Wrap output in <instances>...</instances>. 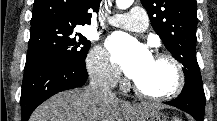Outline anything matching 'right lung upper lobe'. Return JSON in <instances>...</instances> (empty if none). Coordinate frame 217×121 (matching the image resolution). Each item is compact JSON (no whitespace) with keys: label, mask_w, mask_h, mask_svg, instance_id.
<instances>
[{"label":"right lung upper lobe","mask_w":217,"mask_h":121,"mask_svg":"<svg viewBox=\"0 0 217 121\" xmlns=\"http://www.w3.org/2000/svg\"><path fill=\"white\" fill-rule=\"evenodd\" d=\"M101 0H35L31 24L55 21L70 25L90 24L92 14L98 13Z\"/></svg>","instance_id":"right-lung-upper-lobe-1"}]
</instances>
